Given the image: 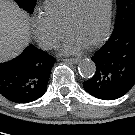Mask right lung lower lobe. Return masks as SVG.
Wrapping results in <instances>:
<instances>
[{
    "label": "right lung lower lobe",
    "mask_w": 135,
    "mask_h": 135,
    "mask_svg": "<svg viewBox=\"0 0 135 135\" xmlns=\"http://www.w3.org/2000/svg\"><path fill=\"white\" fill-rule=\"evenodd\" d=\"M56 59L30 44L17 58L0 63V94L15 103H28L46 91Z\"/></svg>",
    "instance_id": "right-lung-lower-lobe-1"
}]
</instances>
